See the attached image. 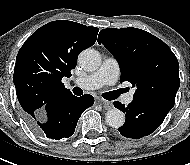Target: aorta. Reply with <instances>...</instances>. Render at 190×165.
<instances>
[{"label":"aorta","mask_w":190,"mask_h":165,"mask_svg":"<svg viewBox=\"0 0 190 165\" xmlns=\"http://www.w3.org/2000/svg\"><path fill=\"white\" fill-rule=\"evenodd\" d=\"M78 62L85 70L95 71L101 65V56L96 50L88 48L79 54ZM105 120L110 127L119 128L125 122V115L121 110L112 108L107 111Z\"/></svg>","instance_id":"aorta-1"}]
</instances>
